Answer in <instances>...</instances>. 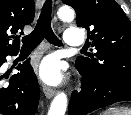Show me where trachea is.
<instances>
[{
  "label": "trachea",
  "instance_id": "1",
  "mask_svg": "<svg viewBox=\"0 0 131 115\" xmlns=\"http://www.w3.org/2000/svg\"><path fill=\"white\" fill-rule=\"evenodd\" d=\"M51 13L52 1L47 0L43 5L40 17L34 30L29 35L22 38V49L33 50L42 42L43 39H46L53 45L62 46L61 40L57 38L51 28Z\"/></svg>",
  "mask_w": 131,
  "mask_h": 115
}]
</instances>
